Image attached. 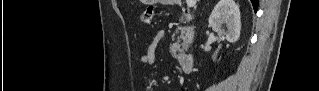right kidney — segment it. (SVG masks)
I'll return each mask as SVG.
<instances>
[{
  "label": "right kidney",
  "instance_id": "right-kidney-1",
  "mask_svg": "<svg viewBox=\"0 0 319 91\" xmlns=\"http://www.w3.org/2000/svg\"><path fill=\"white\" fill-rule=\"evenodd\" d=\"M208 22L209 26L218 35H225L230 43L239 39L241 30L240 10L234 0H220L214 7ZM223 24L227 27L226 31Z\"/></svg>",
  "mask_w": 319,
  "mask_h": 91
}]
</instances>
